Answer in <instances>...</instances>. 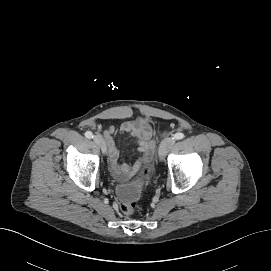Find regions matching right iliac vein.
I'll return each mask as SVG.
<instances>
[{"label":"right iliac vein","mask_w":271,"mask_h":271,"mask_svg":"<svg viewBox=\"0 0 271 271\" xmlns=\"http://www.w3.org/2000/svg\"><path fill=\"white\" fill-rule=\"evenodd\" d=\"M93 141L95 144H97L103 153H106V145L104 139L100 135H95L93 137Z\"/></svg>","instance_id":"63e3f726"}]
</instances>
